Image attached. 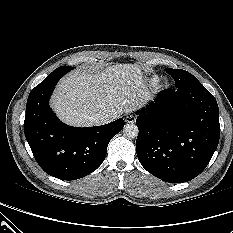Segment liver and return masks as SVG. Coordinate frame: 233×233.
Here are the masks:
<instances>
[{"label": "liver", "mask_w": 233, "mask_h": 233, "mask_svg": "<svg viewBox=\"0 0 233 233\" xmlns=\"http://www.w3.org/2000/svg\"><path fill=\"white\" fill-rule=\"evenodd\" d=\"M152 95L136 64H116L102 71L77 69L63 78L52 98L58 117L73 126H93L92 117L108 114L112 121L144 106Z\"/></svg>", "instance_id": "1"}]
</instances>
